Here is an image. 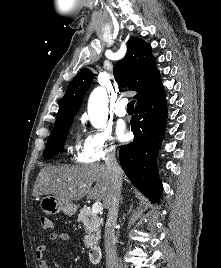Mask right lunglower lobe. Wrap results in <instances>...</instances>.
I'll use <instances>...</instances> for the list:
<instances>
[{"label":"right lung lower lobe","instance_id":"98d812e1","mask_svg":"<svg viewBox=\"0 0 221 268\" xmlns=\"http://www.w3.org/2000/svg\"><path fill=\"white\" fill-rule=\"evenodd\" d=\"M164 90L136 105L131 119L134 140L120 147V164L131 182L152 202H158L162 185L158 177L157 154L166 128Z\"/></svg>","mask_w":221,"mask_h":268}]
</instances>
